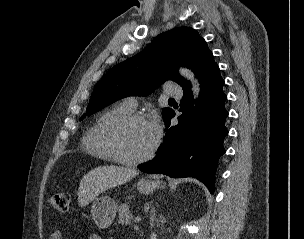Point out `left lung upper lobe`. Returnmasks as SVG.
Here are the masks:
<instances>
[{
    "mask_svg": "<svg viewBox=\"0 0 304 239\" xmlns=\"http://www.w3.org/2000/svg\"><path fill=\"white\" fill-rule=\"evenodd\" d=\"M211 54L206 41L191 27H178L162 33L142 52L106 73L93 90L86 115L127 96L148 95L166 80L186 88L189 81L179 76L176 67L187 66L198 76ZM171 110L163 109L164 119ZM83 118L84 115L80 120Z\"/></svg>",
    "mask_w": 304,
    "mask_h": 239,
    "instance_id": "5c2ea615",
    "label": "left lung upper lobe"
}]
</instances>
